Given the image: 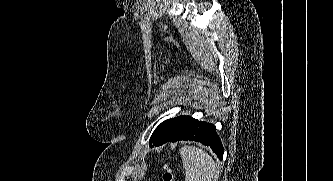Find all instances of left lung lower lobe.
Listing matches in <instances>:
<instances>
[{"label": "left lung lower lobe", "mask_w": 333, "mask_h": 181, "mask_svg": "<svg viewBox=\"0 0 333 181\" xmlns=\"http://www.w3.org/2000/svg\"><path fill=\"white\" fill-rule=\"evenodd\" d=\"M179 140L200 142L203 145L209 146L220 160L223 158L224 151L221 140L216 132V127L211 123L197 121L194 119V121L183 132L170 140V142H176ZM164 143L166 142L155 139L150 144L160 146Z\"/></svg>", "instance_id": "0a47b994"}]
</instances>
